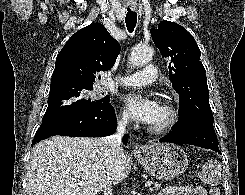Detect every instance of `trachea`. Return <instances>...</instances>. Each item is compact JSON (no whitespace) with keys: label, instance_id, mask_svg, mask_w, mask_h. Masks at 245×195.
Instances as JSON below:
<instances>
[{"label":"trachea","instance_id":"3493384b","mask_svg":"<svg viewBox=\"0 0 245 195\" xmlns=\"http://www.w3.org/2000/svg\"><path fill=\"white\" fill-rule=\"evenodd\" d=\"M125 22H126L127 30L130 33L133 32L134 28L136 26V23H137V13L135 11L131 10L130 8H128Z\"/></svg>","mask_w":245,"mask_h":195}]
</instances>
